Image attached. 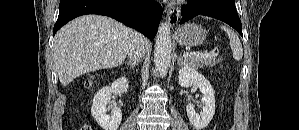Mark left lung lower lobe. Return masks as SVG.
I'll list each match as a JSON object with an SVG mask.
<instances>
[{"mask_svg": "<svg viewBox=\"0 0 299 130\" xmlns=\"http://www.w3.org/2000/svg\"><path fill=\"white\" fill-rule=\"evenodd\" d=\"M183 17L180 24L197 15H205L224 21L232 26L243 37L242 25L235 8V0H188L182 7Z\"/></svg>", "mask_w": 299, "mask_h": 130, "instance_id": "1", "label": "left lung lower lobe"}]
</instances>
